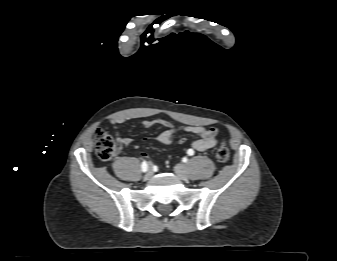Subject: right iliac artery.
Masks as SVG:
<instances>
[{"label":"right iliac artery","instance_id":"right-iliac-artery-1","mask_svg":"<svg viewBox=\"0 0 337 261\" xmlns=\"http://www.w3.org/2000/svg\"><path fill=\"white\" fill-rule=\"evenodd\" d=\"M141 169L143 172H146L148 170V164L146 161L142 162Z\"/></svg>","mask_w":337,"mask_h":261}]
</instances>
